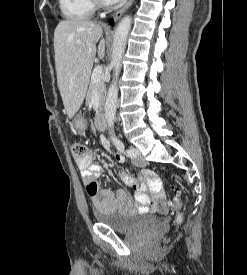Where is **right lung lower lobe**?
I'll list each match as a JSON object with an SVG mask.
<instances>
[{"label": "right lung lower lobe", "mask_w": 247, "mask_h": 275, "mask_svg": "<svg viewBox=\"0 0 247 275\" xmlns=\"http://www.w3.org/2000/svg\"><path fill=\"white\" fill-rule=\"evenodd\" d=\"M113 23V21L112 20H110V24H112Z\"/></svg>", "instance_id": "obj_1"}]
</instances>
